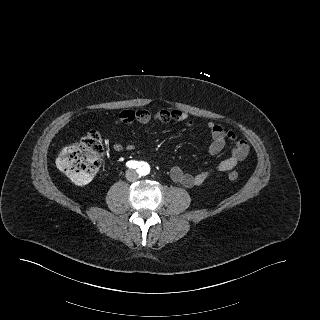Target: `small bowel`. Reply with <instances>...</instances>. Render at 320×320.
<instances>
[{"instance_id":"c3829d8e","label":"small bowel","mask_w":320,"mask_h":320,"mask_svg":"<svg viewBox=\"0 0 320 320\" xmlns=\"http://www.w3.org/2000/svg\"><path fill=\"white\" fill-rule=\"evenodd\" d=\"M152 120L164 123L170 121L182 122L189 127L194 125V122L189 119L186 112L174 108L162 109L154 114L145 109H126L117 115L116 123L130 124L137 121L141 124H147ZM207 127L211 136L209 154L211 156H216L227 144H229L232 147L231 156L222 160L215 169L205 170L199 173H190L178 165H173L169 170L171 179L186 188H192L203 184L214 172L225 173L232 170L239 162L243 161L248 154L247 143L240 139L233 131L214 122H209ZM112 148L116 152H121L124 150L131 151L133 146H124L121 143L114 142Z\"/></svg>"}]
</instances>
